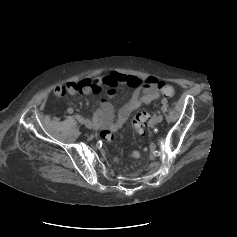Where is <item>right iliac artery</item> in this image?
<instances>
[{"label": "right iliac artery", "instance_id": "82829eb1", "mask_svg": "<svg viewBox=\"0 0 237 237\" xmlns=\"http://www.w3.org/2000/svg\"><path fill=\"white\" fill-rule=\"evenodd\" d=\"M73 111H74V110H73V108H71V107L67 109V112H68L69 114H72Z\"/></svg>", "mask_w": 237, "mask_h": 237}]
</instances>
